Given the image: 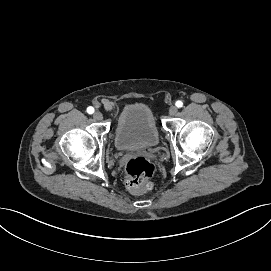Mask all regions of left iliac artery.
Here are the masks:
<instances>
[{"mask_svg":"<svg viewBox=\"0 0 271 271\" xmlns=\"http://www.w3.org/2000/svg\"><path fill=\"white\" fill-rule=\"evenodd\" d=\"M182 105H183V102H182V101H177V102H176V106H177V107H182Z\"/></svg>","mask_w":271,"mask_h":271,"instance_id":"left-iliac-artery-1","label":"left iliac artery"}]
</instances>
